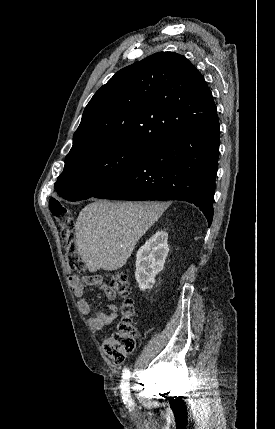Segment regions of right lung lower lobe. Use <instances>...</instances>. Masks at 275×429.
I'll list each match as a JSON object with an SVG mask.
<instances>
[{
  "label": "right lung lower lobe",
  "instance_id": "right-lung-lower-lobe-1",
  "mask_svg": "<svg viewBox=\"0 0 275 429\" xmlns=\"http://www.w3.org/2000/svg\"><path fill=\"white\" fill-rule=\"evenodd\" d=\"M218 119L175 132L151 146L142 163L93 197L181 200L198 206L210 226L219 155Z\"/></svg>",
  "mask_w": 275,
  "mask_h": 429
}]
</instances>
